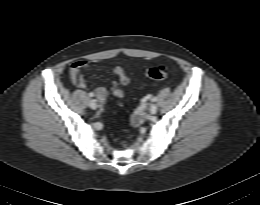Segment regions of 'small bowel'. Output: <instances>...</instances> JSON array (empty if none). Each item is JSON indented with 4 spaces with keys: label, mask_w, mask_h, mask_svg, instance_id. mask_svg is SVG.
<instances>
[{
    "label": "small bowel",
    "mask_w": 260,
    "mask_h": 205,
    "mask_svg": "<svg viewBox=\"0 0 260 205\" xmlns=\"http://www.w3.org/2000/svg\"><path fill=\"white\" fill-rule=\"evenodd\" d=\"M91 66V63L87 60H78L71 64L69 69V78L71 83L79 88L85 89L86 82L83 76V72ZM113 74L116 77V81L113 82V95L116 98H122L124 96V90L122 86H126L130 83V78L121 67H115ZM100 102H104L107 98V90L104 87H97L92 92Z\"/></svg>",
    "instance_id": "small-bowel-1"
}]
</instances>
